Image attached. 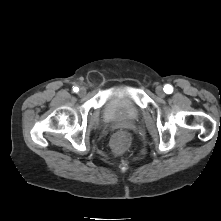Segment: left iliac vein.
I'll list each match as a JSON object with an SVG mask.
<instances>
[{"label":"left iliac vein","instance_id":"1","mask_svg":"<svg viewBox=\"0 0 221 221\" xmlns=\"http://www.w3.org/2000/svg\"><path fill=\"white\" fill-rule=\"evenodd\" d=\"M156 94H157L159 97H164V96H165V93H164V90H163V87H162V86H157V87H156Z\"/></svg>","mask_w":221,"mask_h":221}]
</instances>
